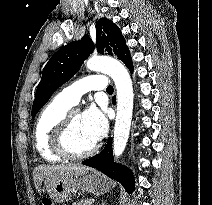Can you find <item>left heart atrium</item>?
Wrapping results in <instances>:
<instances>
[{
	"label": "left heart atrium",
	"mask_w": 212,
	"mask_h": 205,
	"mask_svg": "<svg viewBox=\"0 0 212 205\" xmlns=\"http://www.w3.org/2000/svg\"><path fill=\"white\" fill-rule=\"evenodd\" d=\"M81 117L86 130L96 142L104 137L108 129V121L102 109L91 106Z\"/></svg>",
	"instance_id": "left-heart-atrium-1"
}]
</instances>
